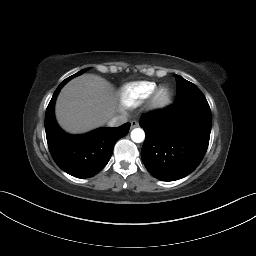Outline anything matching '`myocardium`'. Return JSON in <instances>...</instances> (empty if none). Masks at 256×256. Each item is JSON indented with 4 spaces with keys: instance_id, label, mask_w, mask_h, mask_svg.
<instances>
[{
    "instance_id": "1",
    "label": "myocardium",
    "mask_w": 256,
    "mask_h": 256,
    "mask_svg": "<svg viewBox=\"0 0 256 256\" xmlns=\"http://www.w3.org/2000/svg\"><path fill=\"white\" fill-rule=\"evenodd\" d=\"M172 99V92L171 89L166 86L162 85L157 87L149 99V108L151 110H161L166 108Z\"/></svg>"
}]
</instances>
